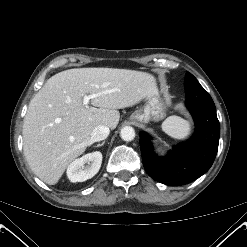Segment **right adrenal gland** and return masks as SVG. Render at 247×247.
Instances as JSON below:
<instances>
[{"instance_id":"obj_1","label":"right adrenal gland","mask_w":247,"mask_h":247,"mask_svg":"<svg viewBox=\"0 0 247 247\" xmlns=\"http://www.w3.org/2000/svg\"><path fill=\"white\" fill-rule=\"evenodd\" d=\"M104 141L102 142V143H99V144H97V145H95L94 147H101V146H103L104 145Z\"/></svg>"}]
</instances>
